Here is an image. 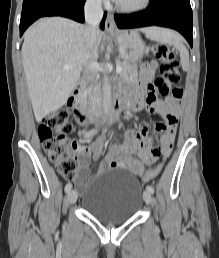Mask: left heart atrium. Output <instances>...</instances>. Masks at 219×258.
Here are the masks:
<instances>
[{
	"mask_svg": "<svg viewBox=\"0 0 219 258\" xmlns=\"http://www.w3.org/2000/svg\"><path fill=\"white\" fill-rule=\"evenodd\" d=\"M113 1H115V2H119V0H113Z\"/></svg>",
	"mask_w": 219,
	"mask_h": 258,
	"instance_id": "39dd6f15",
	"label": "left heart atrium"
}]
</instances>
